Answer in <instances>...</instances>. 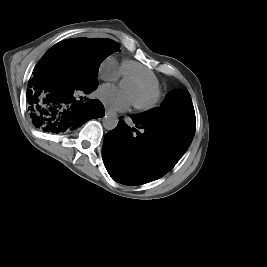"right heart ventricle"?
I'll return each mask as SVG.
<instances>
[{
	"instance_id": "obj_1",
	"label": "right heart ventricle",
	"mask_w": 267,
	"mask_h": 267,
	"mask_svg": "<svg viewBox=\"0 0 267 267\" xmlns=\"http://www.w3.org/2000/svg\"><path fill=\"white\" fill-rule=\"evenodd\" d=\"M121 73L125 78H138L152 90L160 92V81L157 75L148 67L131 60H124Z\"/></svg>"
}]
</instances>
